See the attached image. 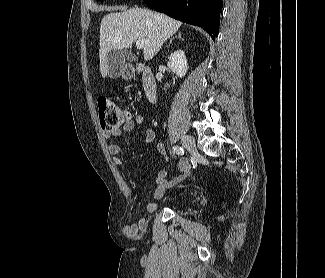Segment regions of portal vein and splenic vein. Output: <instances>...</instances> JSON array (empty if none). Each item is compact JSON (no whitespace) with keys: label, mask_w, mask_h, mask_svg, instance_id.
Instances as JSON below:
<instances>
[{"label":"portal vein and splenic vein","mask_w":325,"mask_h":278,"mask_svg":"<svg viewBox=\"0 0 325 278\" xmlns=\"http://www.w3.org/2000/svg\"><path fill=\"white\" fill-rule=\"evenodd\" d=\"M136 46H137L138 49H142L143 46H144V41L138 39V40L136 41Z\"/></svg>","instance_id":"18ae733b"}]
</instances>
